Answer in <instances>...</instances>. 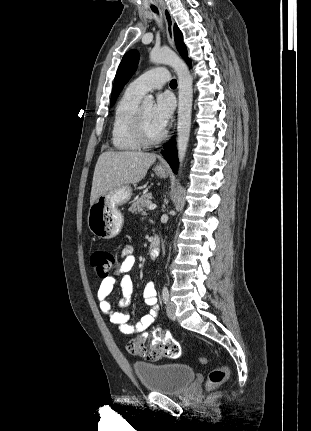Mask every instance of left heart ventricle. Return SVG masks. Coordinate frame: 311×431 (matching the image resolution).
<instances>
[{"instance_id": "left-heart-ventricle-1", "label": "left heart ventricle", "mask_w": 311, "mask_h": 431, "mask_svg": "<svg viewBox=\"0 0 311 431\" xmlns=\"http://www.w3.org/2000/svg\"><path fill=\"white\" fill-rule=\"evenodd\" d=\"M152 111V106L142 107L148 137L156 139L162 134L163 131L154 123Z\"/></svg>"}]
</instances>
